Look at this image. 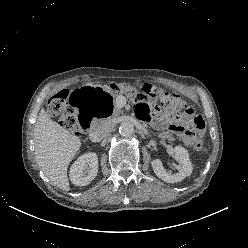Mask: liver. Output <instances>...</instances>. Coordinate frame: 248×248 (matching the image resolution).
I'll return each instance as SVG.
<instances>
[{
    "label": "liver",
    "instance_id": "6515ba94",
    "mask_svg": "<svg viewBox=\"0 0 248 248\" xmlns=\"http://www.w3.org/2000/svg\"><path fill=\"white\" fill-rule=\"evenodd\" d=\"M34 142L41 170L55 186L68 191L67 168L81 147L80 138L52 121L41 109L34 127Z\"/></svg>",
    "mask_w": 248,
    "mask_h": 248
}]
</instances>
